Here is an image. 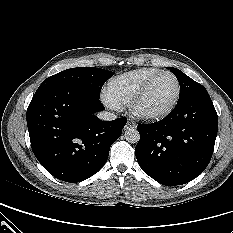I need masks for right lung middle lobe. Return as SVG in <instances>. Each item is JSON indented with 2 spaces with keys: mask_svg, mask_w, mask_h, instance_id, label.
Here are the masks:
<instances>
[{
  "mask_svg": "<svg viewBox=\"0 0 233 233\" xmlns=\"http://www.w3.org/2000/svg\"><path fill=\"white\" fill-rule=\"evenodd\" d=\"M114 75V72L95 67H77L59 72L45 79L33 97L61 85H69L88 91L100 97L104 83Z\"/></svg>",
  "mask_w": 233,
  "mask_h": 233,
  "instance_id": "right-lung-middle-lobe-1",
  "label": "right lung middle lobe"
}]
</instances>
